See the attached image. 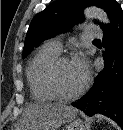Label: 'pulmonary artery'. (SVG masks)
<instances>
[{"label":"pulmonary artery","instance_id":"e3ab8cb5","mask_svg":"<svg viewBox=\"0 0 123 130\" xmlns=\"http://www.w3.org/2000/svg\"><path fill=\"white\" fill-rule=\"evenodd\" d=\"M84 35L89 39H97L101 38L103 35L102 30L96 25H87L84 29ZM49 46H51L56 51H61V41L58 38H53L47 42Z\"/></svg>","mask_w":123,"mask_h":130}]
</instances>
